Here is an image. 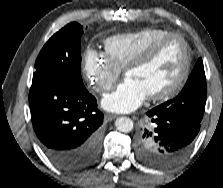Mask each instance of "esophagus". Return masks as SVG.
Instances as JSON below:
<instances>
[{
  "label": "esophagus",
  "instance_id": "esophagus-1",
  "mask_svg": "<svg viewBox=\"0 0 223 188\" xmlns=\"http://www.w3.org/2000/svg\"><path fill=\"white\" fill-rule=\"evenodd\" d=\"M116 117H117V115H115V114L107 113L104 116V120L109 122V121H112L113 119H115Z\"/></svg>",
  "mask_w": 223,
  "mask_h": 188
}]
</instances>
